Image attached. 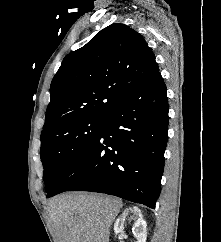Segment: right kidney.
I'll return each instance as SVG.
<instances>
[{"mask_svg": "<svg viewBox=\"0 0 221 242\" xmlns=\"http://www.w3.org/2000/svg\"><path fill=\"white\" fill-rule=\"evenodd\" d=\"M125 218L135 220L132 230L137 242H146L147 224L142 217L141 210L138 207H128L123 211L114 224L115 233L118 234L124 230Z\"/></svg>", "mask_w": 221, "mask_h": 242, "instance_id": "obj_1", "label": "right kidney"}]
</instances>
